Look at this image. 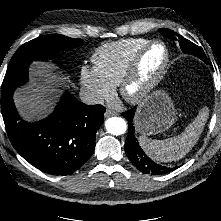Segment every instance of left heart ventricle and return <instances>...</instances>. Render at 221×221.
<instances>
[{"mask_svg": "<svg viewBox=\"0 0 221 221\" xmlns=\"http://www.w3.org/2000/svg\"><path fill=\"white\" fill-rule=\"evenodd\" d=\"M164 59V50L160 45L152 47L144 56L137 80L130 86L129 91L136 93L150 81L158 71Z\"/></svg>", "mask_w": 221, "mask_h": 221, "instance_id": "1", "label": "left heart ventricle"}]
</instances>
